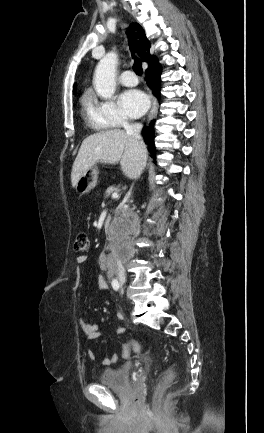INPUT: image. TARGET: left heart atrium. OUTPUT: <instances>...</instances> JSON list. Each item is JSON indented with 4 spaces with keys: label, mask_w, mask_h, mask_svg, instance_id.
I'll return each mask as SVG.
<instances>
[{
    "label": "left heart atrium",
    "mask_w": 264,
    "mask_h": 433,
    "mask_svg": "<svg viewBox=\"0 0 264 433\" xmlns=\"http://www.w3.org/2000/svg\"><path fill=\"white\" fill-rule=\"evenodd\" d=\"M119 104L125 115L131 118H138L147 110L149 101L141 91L128 90L121 94Z\"/></svg>",
    "instance_id": "obj_1"
}]
</instances>
